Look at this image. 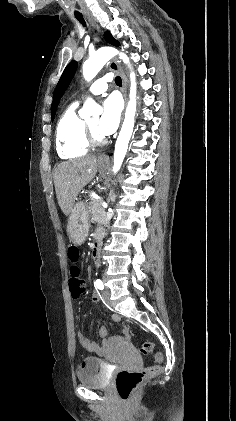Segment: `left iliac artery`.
<instances>
[{"mask_svg": "<svg viewBox=\"0 0 236 421\" xmlns=\"http://www.w3.org/2000/svg\"><path fill=\"white\" fill-rule=\"evenodd\" d=\"M95 285H96V287H97L98 289H100V290H103V289H104L103 282H102L100 279H97V280L95 281Z\"/></svg>", "mask_w": 236, "mask_h": 421, "instance_id": "1", "label": "left iliac artery"}]
</instances>
